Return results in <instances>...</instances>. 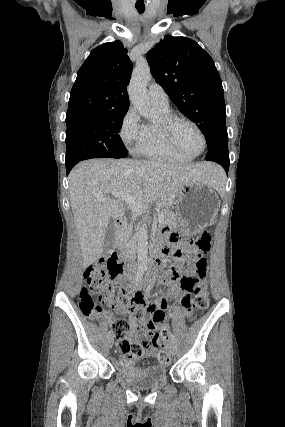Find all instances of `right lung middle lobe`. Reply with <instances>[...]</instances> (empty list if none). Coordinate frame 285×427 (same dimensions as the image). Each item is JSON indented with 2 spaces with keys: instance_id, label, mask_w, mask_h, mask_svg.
I'll list each match as a JSON object with an SVG mask.
<instances>
[{
  "instance_id": "1",
  "label": "right lung middle lobe",
  "mask_w": 285,
  "mask_h": 427,
  "mask_svg": "<svg viewBox=\"0 0 285 427\" xmlns=\"http://www.w3.org/2000/svg\"><path fill=\"white\" fill-rule=\"evenodd\" d=\"M127 111H108L66 120V167L90 158L128 155L119 135Z\"/></svg>"
}]
</instances>
